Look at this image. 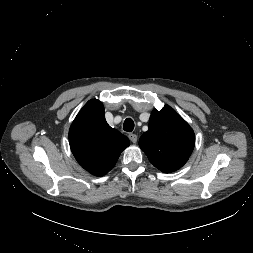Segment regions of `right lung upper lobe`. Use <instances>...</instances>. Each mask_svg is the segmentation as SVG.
I'll return each mask as SVG.
<instances>
[{"instance_id": "cb5924a9", "label": "right lung upper lobe", "mask_w": 253, "mask_h": 253, "mask_svg": "<svg viewBox=\"0 0 253 253\" xmlns=\"http://www.w3.org/2000/svg\"><path fill=\"white\" fill-rule=\"evenodd\" d=\"M70 148L78 163L95 176H103L116 164L129 139L110 127L103 104L90 100L80 110L69 130Z\"/></svg>"}]
</instances>
